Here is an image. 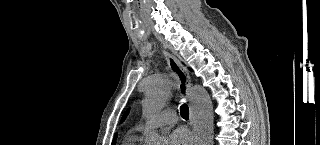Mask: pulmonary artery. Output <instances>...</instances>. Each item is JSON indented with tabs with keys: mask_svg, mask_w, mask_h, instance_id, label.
<instances>
[{
	"mask_svg": "<svg viewBox=\"0 0 320 145\" xmlns=\"http://www.w3.org/2000/svg\"><path fill=\"white\" fill-rule=\"evenodd\" d=\"M177 122V116L176 113L172 109H167L160 114H158L153 122V127H163V126H173ZM143 126H139L138 130L142 131Z\"/></svg>",
	"mask_w": 320,
	"mask_h": 145,
	"instance_id": "1",
	"label": "pulmonary artery"
}]
</instances>
